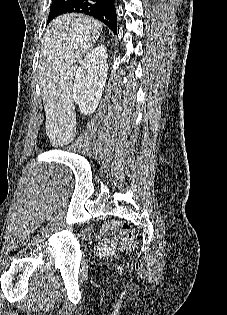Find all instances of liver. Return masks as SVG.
Returning <instances> with one entry per match:
<instances>
[{"label":"liver","mask_w":227,"mask_h":315,"mask_svg":"<svg viewBox=\"0 0 227 315\" xmlns=\"http://www.w3.org/2000/svg\"><path fill=\"white\" fill-rule=\"evenodd\" d=\"M101 32L100 21L77 13L57 17L45 31L39 83L46 114V135L54 147L67 145L75 138L74 76L83 56Z\"/></svg>","instance_id":"liver-1"}]
</instances>
